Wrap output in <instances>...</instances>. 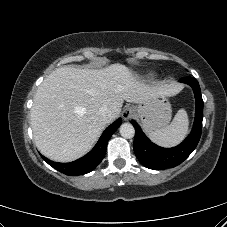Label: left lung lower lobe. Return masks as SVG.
Instances as JSON below:
<instances>
[{
	"label": "left lung lower lobe",
	"mask_w": 227,
	"mask_h": 227,
	"mask_svg": "<svg viewBox=\"0 0 227 227\" xmlns=\"http://www.w3.org/2000/svg\"><path fill=\"white\" fill-rule=\"evenodd\" d=\"M180 82L190 85L196 99L195 121L191 133L178 146L162 148L152 143L143 133L140 126L134 121L135 128L134 152L142 165L149 169L160 170L173 168L182 163L196 148L202 131L203 100L199 83L192 77H184Z\"/></svg>",
	"instance_id": "left-lung-lower-lobe-1"
}]
</instances>
